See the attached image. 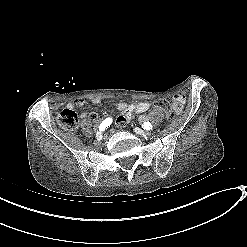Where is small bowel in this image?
Instances as JSON below:
<instances>
[{
    "label": "small bowel",
    "mask_w": 247,
    "mask_h": 247,
    "mask_svg": "<svg viewBox=\"0 0 247 247\" xmlns=\"http://www.w3.org/2000/svg\"><path fill=\"white\" fill-rule=\"evenodd\" d=\"M91 102L93 104L97 105L100 103V99L99 98H93L91 100ZM184 102H185V99L182 95L175 96L174 104L182 106L184 104ZM84 104H85V100L83 98H78V99L74 100V102L70 103L68 106L70 108H73V107H81ZM150 108H151V104L148 102H141L139 104L119 103L117 105V109L119 111V117L117 119V123L119 126H124L128 122L130 116L133 113L144 114V113L148 112L150 110ZM156 116H157V113L155 112V113L151 114L149 117L155 118ZM81 117L82 118H88L89 115L87 113H82ZM146 118H147L146 116L142 117V119H146Z\"/></svg>",
    "instance_id": "c3829d8e"
}]
</instances>
